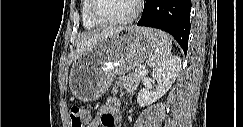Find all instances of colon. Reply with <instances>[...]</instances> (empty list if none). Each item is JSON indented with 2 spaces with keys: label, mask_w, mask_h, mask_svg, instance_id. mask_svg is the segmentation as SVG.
Masks as SVG:
<instances>
[{
  "label": "colon",
  "mask_w": 243,
  "mask_h": 127,
  "mask_svg": "<svg viewBox=\"0 0 243 127\" xmlns=\"http://www.w3.org/2000/svg\"><path fill=\"white\" fill-rule=\"evenodd\" d=\"M69 117L71 120L72 127H84L86 122V117L84 111L79 106H72L69 109Z\"/></svg>",
  "instance_id": "obj_1"
}]
</instances>
